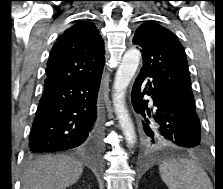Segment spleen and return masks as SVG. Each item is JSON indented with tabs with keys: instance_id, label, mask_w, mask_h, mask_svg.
<instances>
[{
	"instance_id": "3e777b00",
	"label": "spleen",
	"mask_w": 223,
	"mask_h": 189,
	"mask_svg": "<svg viewBox=\"0 0 223 189\" xmlns=\"http://www.w3.org/2000/svg\"><path fill=\"white\" fill-rule=\"evenodd\" d=\"M159 171L169 189H212L206 172L192 160L166 161Z\"/></svg>"
}]
</instances>
